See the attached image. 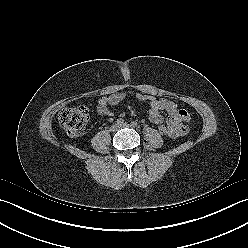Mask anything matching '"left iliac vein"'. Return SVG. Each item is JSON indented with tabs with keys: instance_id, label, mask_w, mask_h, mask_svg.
I'll return each instance as SVG.
<instances>
[{
	"instance_id": "obj_1",
	"label": "left iliac vein",
	"mask_w": 248,
	"mask_h": 248,
	"mask_svg": "<svg viewBox=\"0 0 248 248\" xmlns=\"http://www.w3.org/2000/svg\"><path fill=\"white\" fill-rule=\"evenodd\" d=\"M130 125L128 123H123L120 125V127H129Z\"/></svg>"
}]
</instances>
